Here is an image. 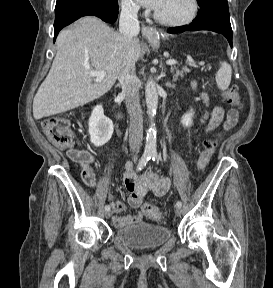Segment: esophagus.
<instances>
[{
    "mask_svg": "<svg viewBox=\"0 0 273 288\" xmlns=\"http://www.w3.org/2000/svg\"><path fill=\"white\" fill-rule=\"evenodd\" d=\"M142 34L146 38H150V37H153L155 34H158V30L156 28H153V27H150V26H143Z\"/></svg>",
    "mask_w": 273,
    "mask_h": 288,
    "instance_id": "obj_1",
    "label": "esophagus"
}]
</instances>
